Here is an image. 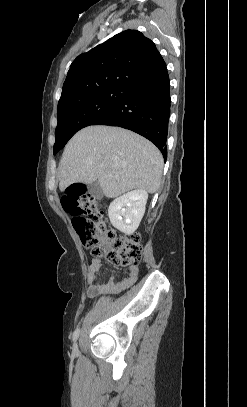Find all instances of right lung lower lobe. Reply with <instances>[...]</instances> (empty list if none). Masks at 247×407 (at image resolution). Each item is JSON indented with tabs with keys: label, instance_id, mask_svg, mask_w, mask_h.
Instances as JSON below:
<instances>
[{
	"label": "right lung lower lobe",
	"instance_id": "right-lung-lower-lobe-1",
	"mask_svg": "<svg viewBox=\"0 0 247 407\" xmlns=\"http://www.w3.org/2000/svg\"><path fill=\"white\" fill-rule=\"evenodd\" d=\"M170 103V81L165 66L150 78L136 83L114 109L93 125L132 130L154 143L166 160Z\"/></svg>",
	"mask_w": 247,
	"mask_h": 407
}]
</instances>
